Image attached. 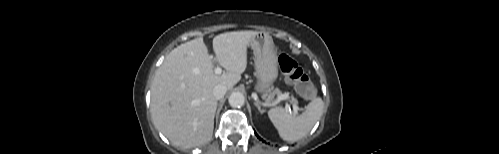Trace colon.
I'll return each mask as SVG.
<instances>
[{
    "instance_id": "obj_1",
    "label": "colon",
    "mask_w": 499,
    "mask_h": 154,
    "mask_svg": "<svg viewBox=\"0 0 499 154\" xmlns=\"http://www.w3.org/2000/svg\"><path fill=\"white\" fill-rule=\"evenodd\" d=\"M279 67L286 79L295 85L298 92L306 99H314L317 95V85L313 83L297 61L286 54L279 56Z\"/></svg>"
}]
</instances>
